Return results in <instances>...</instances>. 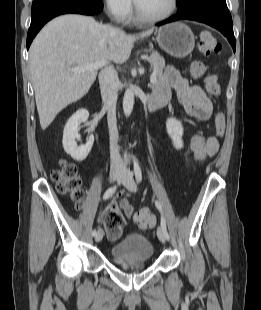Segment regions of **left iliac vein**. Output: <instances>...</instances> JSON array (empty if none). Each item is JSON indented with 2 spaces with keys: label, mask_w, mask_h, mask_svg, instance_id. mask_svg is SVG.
Returning <instances> with one entry per match:
<instances>
[{
  "label": "left iliac vein",
  "mask_w": 261,
  "mask_h": 310,
  "mask_svg": "<svg viewBox=\"0 0 261 310\" xmlns=\"http://www.w3.org/2000/svg\"><path fill=\"white\" fill-rule=\"evenodd\" d=\"M119 179L129 191L136 192L137 186L133 179V173L130 171L129 168H123ZM157 236L162 243H165L167 241L162 227H158Z\"/></svg>",
  "instance_id": "4c4485c4"
}]
</instances>
